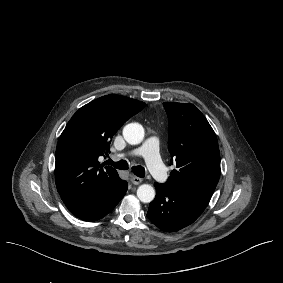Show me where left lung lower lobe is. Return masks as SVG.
<instances>
[{"mask_svg": "<svg viewBox=\"0 0 283 283\" xmlns=\"http://www.w3.org/2000/svg\"><path fill=\"white\" fill-rule=\"evenodd\" d=\"M156 197L150 203L148 219L166 232L178 231L193 223L207 203L187 192L155 183Z\"/></svg>", "mask_w": 283, "mask_h": 283, "instance_id": "1", "label": "left lung lower lobe"}]
</instances>
